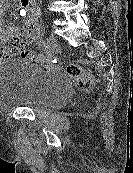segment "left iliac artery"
Returning <instances> with one entry per match:
<instances>
[{"mask_svg":"<svg viewBox=\"0 0 133 173\" xmlns=\"http://www.w3.org/2000/svg\"><path fill=\"white\" fill-rule=\"evenodd\" d=\"M39 45L45 46V41H44V40H41V41L39 42Z\"/></svg>","mask_w":133,"mask_h":173,"instance_id":"left-iliac-artery-1","label":"left iliac artery"}]
</instances>
